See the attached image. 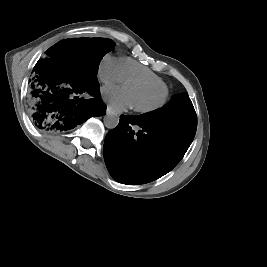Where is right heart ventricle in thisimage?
<instances>
[{
    "instance_id": "1",
    "label": "right heart ventricle",
    "mask_w": 267,
    "mask_h": 267,
    "mask_svg": "<svg viewBox=\"0 0 267 267\" xmlns=\"http://www.w3.org/2000/svg\"><path fill=\"white\" fill-rule=\"evenodd\" d=\"M120 62L122 75L125 80L131 77H142L160 83L167 88L164 80L149 67L144 66L131 58H121Z\"/></svg>"
}]
</instances>
